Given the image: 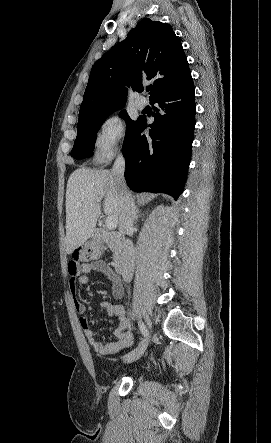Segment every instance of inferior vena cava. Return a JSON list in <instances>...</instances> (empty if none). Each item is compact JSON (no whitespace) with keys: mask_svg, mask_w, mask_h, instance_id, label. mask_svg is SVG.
Returning <instances> with one entry per match:
<instances>
[{"mask_svg":"<svg viewBox=\"0 0 271 443\" xmlns=\"http://www.w3.org/2000/svg\"><path fill=\"white\" fill-rule=\"evenodd\" d=\"M125 160L123 156H118L111 170V178L115 184L116 190L123 204V214L119 223V231L129 233L133 231V223L135 220V204L132 196L126 186L125 178ZM135 265L134 245L131 239H126L124 247H121L120 253L115 257V267L117 273H121L125 281H130L133 277Z\"/></svg>","mask_w":271,"mask_h":443,"instance_id":"obj_1","label":"inferior vena cava"}]
</instances>
